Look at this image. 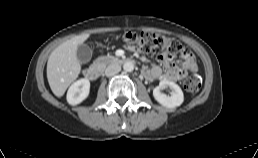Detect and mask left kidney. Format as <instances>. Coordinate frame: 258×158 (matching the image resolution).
<instances>
[{
    "label": "left kidney",
    "instance_id": "5707ae66",
    "mask_svg": "<svg viewBox=\"0 0 258 158\" xmlns=\"http://www.w3.org/2000/svg\"><path fill=\"white\" fill-rule=\"evenodd\" d=\"M167 87L171 89L170 95L161 92V90ZM153 96L157 102L168 108L178 107L184 101V95L181 88L176 83L168 80L160 81L159 85L153 90Z\"/></svg>",
    "mask_w": 258,
    "mask_h": 158
}]
</instances>
